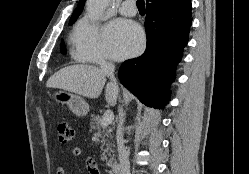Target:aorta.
Listing matches in <instances>:
<instances>
[{"label": "aorta", "mask_w": 249, "mask_h": 174, "mask_svg": "<svg viewBox=\"0 0 249 174\" xmlns=\"http://www.w3.org/2000/svg\"><path fill=\"white\" fill-rule=\"evenodd\" d=\"M110 0H87L86 10L88 18L95 22L104 13Z\"/></svg>", "instance_id": "obj_1"}]
</instances>
